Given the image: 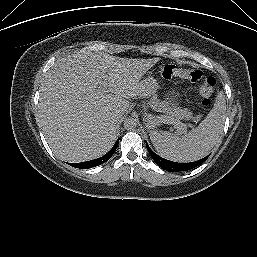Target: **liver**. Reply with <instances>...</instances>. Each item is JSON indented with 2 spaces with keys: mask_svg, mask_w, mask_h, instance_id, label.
Instances as JSON below:
<instances>
[{
  "mask_svg": "<svg viewBox=\"0 0 257 257\" xmlns=\"http://www.w3.org/2000/svg\"><path fill=\"white\" fill-rule=\"evenodd\" d=\"M158 61L109 54L76 53L55 62L40 87L39 119L57 158L83 162L98 158L114 145L117 122L142 94L141 77ZM109 94H97L101 83Z\"/></svg>",
  "mask_w": 257,
  "mask_h": 257,
  "instance_id": "1",
  "label": "liver"
}]
</instances>
